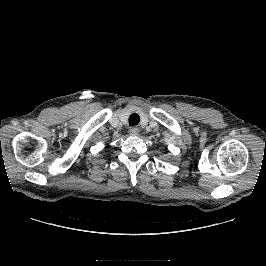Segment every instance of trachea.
Returning a JSON list of instances; mask_svg holds the SVG:
<instances>
[{
  "label": "trachea",
  "mask_w": 266,
  "mask_h": 266,
  "mask_svg": "<svg viewBox=\"0 0 266 266\" xmlns=\"http://www.w3.org/2000/svg\"><path fill=\"white\" fill-rule=\"evenodd\" d=\"M140 122V117L138 114L133 113L129 117V125L130 126H135Z\"/></svg>",
  "instance_id": "1"
}]
</instances>
